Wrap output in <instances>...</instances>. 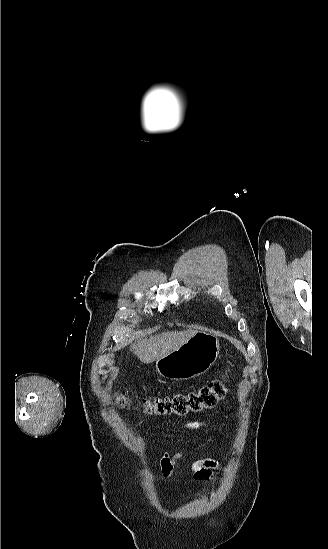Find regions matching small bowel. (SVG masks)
Listing matches in <instances>:
<instances>
[{
	"label": "small bowel",
	"mask_w": 328,
	"mask_h": 549,
	"mask_svg": "<svg viewBox=\"0 0 328 549\" xmlns=\"http://www.w3.org/2000/svg\"><path fill=\"white\" fill-rule=\"evenodd\" d=\"M184 428L188 430H199L201 428H214L213 425L200 421L190 420L184 423ZM185 458L183 452L170 454L165 452L159 462L160 470L164 476H173L180 471L179 463ZM216 466V462L211 459H198L191 463L189 469L194 473L195 478L205 479L208 477L210 469Z\"/></svg>",
	"instance_id": "1"
}]
</instances>
